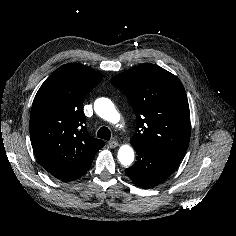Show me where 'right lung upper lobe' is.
I'll return each instance as SVG.
<instances>
[{
    "instance_id": "cb5924a9",
    "label": "right lung upper lobe",
    "mask_w": 236,
    "mask_h": 236,
    "mask_svg": "<svg viewBox=\"0 0 236 236\" xmlns=\"http://www.w3.org/2000/svg\"><path fill=\"white\" fill-rule=\"evenodd\" d=\"M102 74L68 63L55 70L38 90L31 109L30 136L40 164L52 175L77 169L104 146L84 127L82 104Z\"/></svg>"
}]
</instances>
